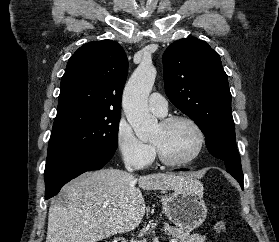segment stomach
Segmentation results:
<instances>
[{"mask_svg":"<svg viewBox=\"0 0 279 242\" xmlns=\"http://www.w3.org/2000/svg\"><path fill=\"white\" fill-rule=\"evenodd\" d=\"M202 185L191 190H174L161 198L162 208L169 220L183 230L201 226L207 216Z\"/></svg>","mask_w":279,"mask_h":242,"instance_id":"0dacf381","label":"stomach"}]
</instances>
